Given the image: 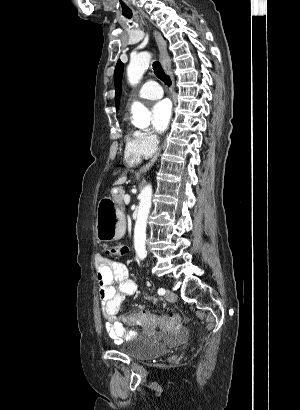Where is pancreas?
Instances as JSON below:
<instances>
[{
	"label": "pancreas",
	"mask_w": 300,
	"mask_h": 410,
	"mask_svg": "<svg viewBox=\"0 0 300 410\" xmlns=\"http://www.w3.org/2000/svg\"><path fill=\"white\" fill-rule=\"evenodd\" d=\"M113 199L121 209H124V192L121 189H119L117 194H113Z\"/></svg>",
	"instance_id": "obj_1"
}]
</instances>
